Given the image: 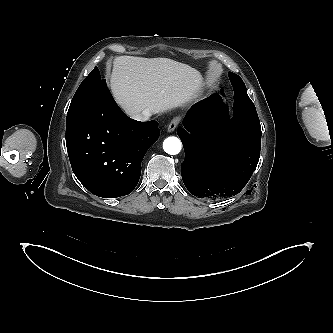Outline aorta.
<instances>
[{
	"instance_id": "1",
	"label": "aorta",
	"mask_w": 333,
	"mask_h": 333,
	"mask_svg": "<svg viewBox=\"0 0 333 333\" xmlns=\"http://www.w3.org/2000/svg\"><path fill=\"white\" fill-rule=\"evenodd\" d=\"M181 141L174 136L168 137L163 142V149L170 155H176L181 151Z\"/></svg>"
}]
</instances>
